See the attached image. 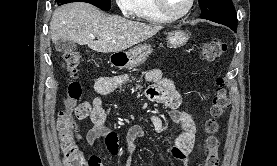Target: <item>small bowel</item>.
<instances>
[{
    "label": "small bowel",
    "instance_id": "obj_1",
    "mask_svg": "<svg viewBox=\"0 0 277 166\" xmlns=\"http://www.w3.org/2000/svg\"><path fill=\"white\" fill-rule=\"evenodd\" d=\"M146 80L151 85L145 90L146 98L152 102L164 105L170 111L172 120L177 124L179 133L174 139L169 151L177 160L188 163L189 156L193 150L196 140V125L191 115L182 110V97L171 79L163 77L160 69H151L146 73ZM129 78L127 75L102 76L95 80L93 85L94 98L91 103L85 101L76 109V116L79 119L90 118L93 126L87 131L85 141L92 146L99 138L105 139L107 150L112 155L119 153V139L107 122V116L102 107V96L111 94L123 87ZM154 129L161 133L164 130V123L160 116L154 115L151 118ZM145 135L144 129L135 125L125 135L124 141L127 149L126 166H131V156L134 152V142ZM92 166H103L98 155L90 157Z\"/></svg>",
    "mask_w": 277,
    "mask_h": 166
}]
</instances>
